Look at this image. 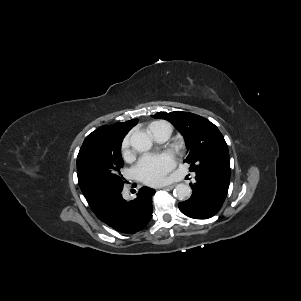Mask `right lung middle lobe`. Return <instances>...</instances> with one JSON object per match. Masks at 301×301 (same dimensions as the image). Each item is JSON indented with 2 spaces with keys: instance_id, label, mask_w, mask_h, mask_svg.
I'll return each instance as SVG.
<instances>
[{
  "instance_id": "right-lung-middle-lobe-1",
  "label": "right lung middle lobe",
  "mask_w": 301,
  "mask_h": 301,
  "mask_svg": "<svg viewBox=\"0 0 301 301\" xmlns=\"http://www.w3.org/2000/svg\"><path fill=\"white\" fill-rule=\"evenodd\" d=\"M123 165L121 142L102 137L84 140L77 156L78 184L94 213L123 189L125 181L120 173Z\"/></svg>"
}]
</instances>
